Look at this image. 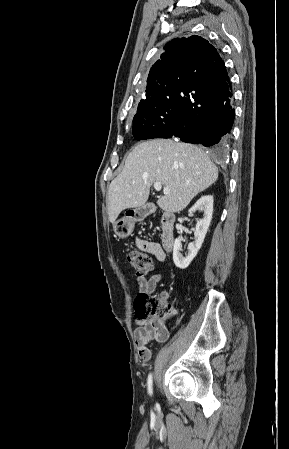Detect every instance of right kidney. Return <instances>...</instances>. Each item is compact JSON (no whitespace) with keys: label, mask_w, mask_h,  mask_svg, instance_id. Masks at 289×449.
I'll return each mask as SVG.
<instances>
[{"label":"right kidney","mask_w":289,"mask_h":449,"mask_svg":"<svg viewBox=\"0 0 289 449\" xmlns=\"http://www.w3.org/2000/svg\"><path fill=\"white\" fill-rule=\"evenodd\" d=\"M213 196L205 195L202 196L189 210L190 213H194L197 210L204 213L203 218L200 219L196 224V229L194 231L195 241L188 245V254L183 256L181 253L182 246L178 239H175L173 246V261L176 267L180 269H186L192 260L197 255L199 249L201 248L210 222L212 220L213 214ZM179 223L183 222V218L178 219Z\"/></svg>","instance_id":"right-kidney-1"}]
</instances>
